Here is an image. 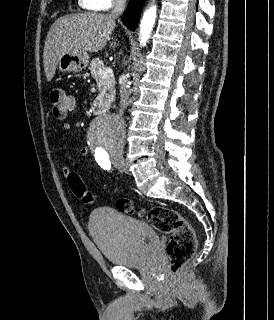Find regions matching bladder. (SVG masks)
<instances>
[{
  "label": "bladder",
  "mask_w": 274,
  "mask_h": 320,
  "mask_svg": "<svg viewBox=\"0 0 274 320\" xmlns=\"http://www.w3.org/2000/svg\"><path fill=\"white\" fill-rule=\"evenodd\" d=\"M88 229L104 259L117 266L146 263L154 257L160 243L150 225L112 208L94 210Z\"/></svg>",
  "instance_id": "bladder-1"
}]
</instances>
